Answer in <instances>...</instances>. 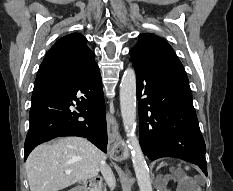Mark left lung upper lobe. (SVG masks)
<instances>
[{"label":"left lung upper lobe","instance_id":"left-lung-upper-lobe-1","mask_svg":"<svg viewBox=\"0 0 233 191\" xmlns=\"http://www.w3.org/2000/svg\"><path fill=\"white\" fill-rule=\"evenodd\" d=\"M129 53L133 62L155 67L188 80L183 65L172 47L158 36L140 34L139 41Z\"/></svg>","mask_w":233,"mask_h":191}]
</instances>
